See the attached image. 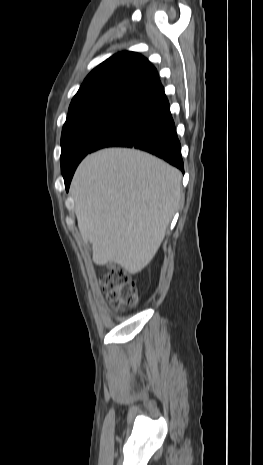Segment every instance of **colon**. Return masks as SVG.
Instances as JSON below:
<instances>
[{
    "mask_svg": "<svg viewBox=\"0 0 263 465\" xmlns=\"http://www.w3.org/2000/svg\"><path fill=\"white\" fill-rule=\"evenodd\" d=\"M102 286L108 291V299L113 304L132 305L137 301L136 283L121 267H109L102 277Z\"/></svg>",
    "mask_w": 263,
    "mask_h": 465,
    "instance_id": "5ec220e1",
    "label": "colon"
}]
</instances>
